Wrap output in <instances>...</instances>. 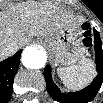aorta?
Segmentation results:
<instances>
[{"mask_svg":"<svg viewBox=\"0 0 103 103\" xmlns=\"http://www.w3.org/2000/svg\"><path fill=\"white\" fill-rule=\"evenodd\" d=\"M21 61L28 69H39L44 67L47 61V54L41 47L28 46L22 52Z\"/></svg>","mask_w":103,"mask_h":103,"instance_id":"762f6f07","label":"aorta"}]
</instances>
